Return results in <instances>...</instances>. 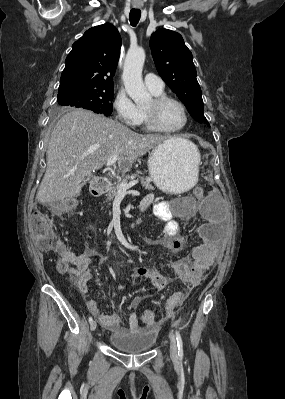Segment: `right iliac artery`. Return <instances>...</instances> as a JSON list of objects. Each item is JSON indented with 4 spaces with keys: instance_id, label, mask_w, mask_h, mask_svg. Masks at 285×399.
<instances>
[{
    "instance_id": "82829eb1",
    "label": "right iliac artery",
    "mask_w": 285,
    "mask_h": 399,
    "mask_svg": "<svg viewBox=\"0 0 285 399\" xmlns=\"http://www.w3.org/2000/svg\"><path fill=\"white\" fill-rule=\"evenodd\" d=\"M93 321L92 317H89V323H91Z\"/></svg>"
}]
</instances>
